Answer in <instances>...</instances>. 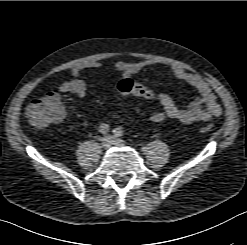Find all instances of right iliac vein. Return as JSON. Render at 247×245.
<instances>
[{"instance_id": "1", "label": "right iliac vein", "mask_w": 247, "mask_h": 245, "mask_svg": "<svg viewBox=\"0 0 247 245\" xmlns=\"http://www.w3.org/2000/svg\"><path fill=\"white\" fill-rule=\"evenodd\" d=\"M113 145V138L111 136H105L101 140V146L103 149H109Z\"/></svg>"}]
</instances>
